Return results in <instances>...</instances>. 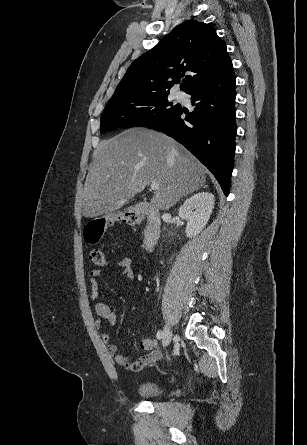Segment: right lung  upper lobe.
<instances>
[{"label":"right lung upper lobe","mask_w":307,"mask_h":445,"mask_svg":"<svg viewBox=\"0 0 307 445\" xmlns=\"http://www.w3.org/2000/svg\"><path fill=\"white\" fill-rule=\"evenodd\" d=\"M231 64L226 44L209 24L187 20L158 45L136 59L118 84L115 97L168 93L186 71L181 89L216 75Z\"/></svg>","instance_id":"cb5924a9"}]
</instances>
